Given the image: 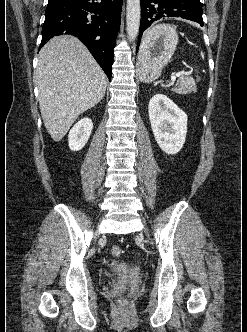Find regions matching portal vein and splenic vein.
I'll return each instance as SVG.
<instances>
[{
    "label": "portal vein and splenic vein",
    "mask_w": 247,
    "mask_h": 332,
    "mask_svg": "<svg viewBox=\"0 0 247 332\" xmlns=\"http://www.w3.org/2000/svg\"><path fill=\"white\" fill-rule=\"evenodd\" d=\"M183 74H185L184 71L177 72L176 74H174L173 76H171V81H172V82H175L176 79H177L178 77H180L181 75H183Z\"/></svg>",
    "instance_id": "portal-vein-and-splenic-vein-1"
}]
</instances>
